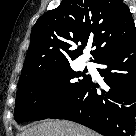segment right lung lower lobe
<instances>
[{"label":"right lung lower lobe","instance_id":"1","mask_svg":"<svg viewBox=\"0 0 136 136\" xmlns=\"http://www.w3.org/2000/svg\"><path fill=\"white\" fill-rule=\"evenodd\" d=\"M93 62L108 86L97 92L92 78L48 118L66 119L104 136H134L136 124V36L101 53Z\"/></svg>","mask_w":136,"mask_h":136}]
</instances>
